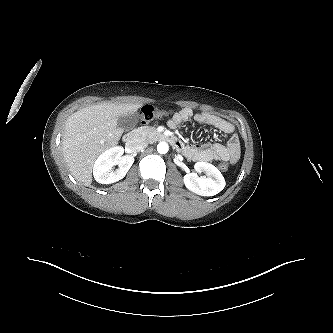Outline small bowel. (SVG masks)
<instances>
[{
  "label": "small bowel",
  "instance_id": "obj_1",
  "mask_svg": "<svg viewBox=\"0 0 333 333\" xmlns=\"http://www.w3.org/2000/svg\"><path fill=\"white\" fill-rule=\"evenodd\" d=\"M191 119L200 124L213 127L221 132L225 137V142H210L193 146H185L183 144L180 150L187 158L200 162L228 161L230 163H235L237 161L240 151V142L235 133V127L230 121L209 113H194L190 108H183L176 112L168 120L167 124L170 128L175 129L182 123Z\"/></svg>",
  "mask_w": 333,
  "mask_h": 333
}]
</instances>
